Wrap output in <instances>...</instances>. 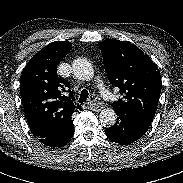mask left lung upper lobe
<instances>
[{
	"label": "left lung upper lobe",
	"instance_id": "5c2ea615",
	"mask_svg": "<svg viewBox=\"0 0 183 183\" xmlns=\"http://www.w3.org/2000/svg\"><path fill=\"white\" fill-rule=\"evenodd\" d=\"M98 44L108 79L123 96L112 104L115 112L151 123L162 84L156 64L131 42L108 39Z\"/></svg>",
	"mask_w": 183,
	"mask_h": 183
}]
</instances>
